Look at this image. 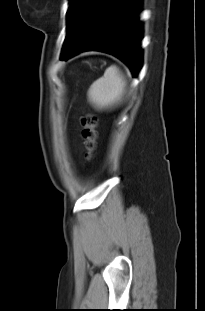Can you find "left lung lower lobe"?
Wrapping results in <instances>:
<instances>
[{"instance_id":"1","label":"left lung lower lobe","mask_w":205,"mask_h":311,"mask_svg":"<svg viewBox=\"0 0 205 311\" xmlns=\"http://www.w3.org/2000/svg\"><path fill=\"white\" fill-rule=\"evenodd\" d=\"M140 0H119L107 17L62 59L86 50L113 54L123 60L137 76L141 67V25L138 21Z\"/></svg>"}]
</instances>
